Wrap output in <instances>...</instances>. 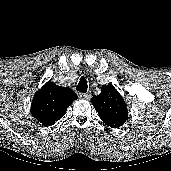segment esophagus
Returning a JSON list of instances; mask_svg holds the SVG:
<instances>
[{
    "instance_id": "1",
    "label": "esophagus",
    "mask_w": 171,
    "mask_h": 171,
    "mask_svg": "<svg viewBox=\"0 0 171 171\" xmlns=\"http://www.w3.org/2000/svg\"><path fill=\"white\" fill-rule=\"evenodd\" d=\"M78 97L81 98V99H87L88 100L91 97V95L88 94V93L79 92Z\"/></svg>"
}]
</instances>
